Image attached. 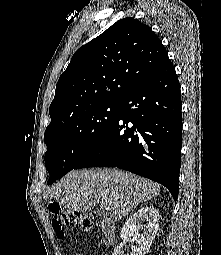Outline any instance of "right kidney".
<instances>
[{"mask_svg": "<svg viewBox=\"0 0 221 255\" xmlns=\"http://www.w3.org/2000/svg\"><path fill=\"white\" fill-rule=\"evenodd\" d=\"M158 220V211L152 206H144L125 222L120 233L123 243L128 241L131 236L135 237L137 243L132 248L130 255H146L149 252L157 234ZM141 229H144V232L140 234L139 231ZM113 255H125L123 246L116 247Z\"/></svg>", "mask_w": 221, "mask_h": 255, "instance_id": "obj_1", "label": "right kidney"}]
</instances>
